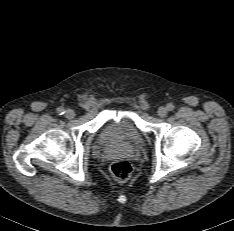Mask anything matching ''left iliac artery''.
<instances>
[{
  "mask_svg": "<svg viewBox=\"0 0 234 231\" xmlns=\"http://www.w3.org/2000/svg\"><path fill=\"white\" fill-rule=\"evenodd\" d=\"M166 109H167L168 111H172V110L174 109V105L171 104V103H169V104H167Z\"/></svg>",
  "mask_w": 234,
  "mask_h": 231,
  "instance_id": "obj_1",
  "label": "left iliac artery"
}]
</instances>
